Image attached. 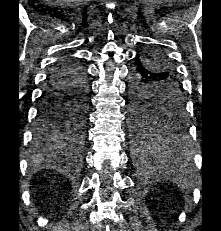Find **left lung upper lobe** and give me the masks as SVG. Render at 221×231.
Instances as JSON below:
<instances>
[{
  "mask_svg": "<svg viewBox=\"0 0 221 231\" xmlns=\"http://www.w3.org/2000/svg\"><path fill=\"white\" fill-rule=\"evenodd\" d=\"M147 57L149 58L145 62L147 68L163 76L157 80L163 88L156 94H143L147 97L146 100L149 104L130 112L133 135L137 142L149 141L155 137L154 134H158L157 130L164 129L166 126L172 127L175 123L184 120L181 85L166 56L160 50H152L147 53ZM154 96H159L157 103L151 102L155 98Z\"/></svg>",
  "mask_w": 221,
  "mask_h": 231,
  "instance_id": "1",
  "label": "left lung upper lobe"
}]
</instances>
